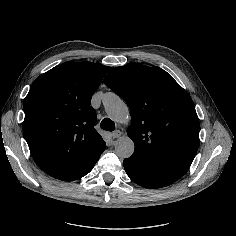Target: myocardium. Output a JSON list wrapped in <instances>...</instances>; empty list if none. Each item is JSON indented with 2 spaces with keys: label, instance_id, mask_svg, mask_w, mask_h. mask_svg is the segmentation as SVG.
Listing matches in <instances>:
<instances>
[{
  "label": "myocardium",
  "instance_id": "obj_1",
  "mask_svg": "<svg viewBox=\"0 0 236 236\" xmlns=\"http://www.w3.org/2000/svg\"><path fill=\"white\" fill-rule=\"evenodd\" d=\"M129 115L127 114L122 121H126Z\"/></svg>",
  "mask_w": 236,
  "mask_h": 236
}]
</instances>
